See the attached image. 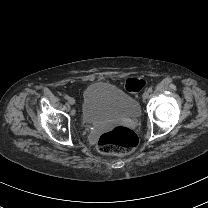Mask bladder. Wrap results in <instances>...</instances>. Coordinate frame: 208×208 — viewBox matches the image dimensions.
Instances as JSON below:
<instances>
[{"mask_svg":"<svg viewBox=\"0 0 208 208\" xmlns=\"http://www.w3.org/2000/svg\"><path fill=\"white\" fill-rule=\"evenodd\" d=\"M139 114L136 99L114 85L93 82L84 90L82 110L84 120L134 119Z\"/></svg>","mask_w":208,"mask_h":208,"instance_id":"obj_1","label":"bladder"}]
</instances>
